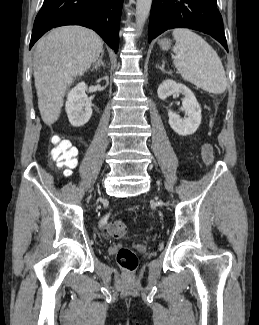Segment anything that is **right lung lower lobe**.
Returning a JSON list of instances; mask_svg holds the SVG:
<instances>
[{"label": "right lung lower lobe", "mask_w": 259, "mask_h": 325, "mask_svg": "<svg viewBox=\"0 0 259 325\" xmlns=\"http://www.w3.org/2000/svg\"><path fill=\"white\" fill-rule=\"evenodd\" d=\"M123 0H44L36 16L30 48L48 30L82 25L96 31L117 53Z\"/></svg>", "instance_id": "1"}]
</instances>
